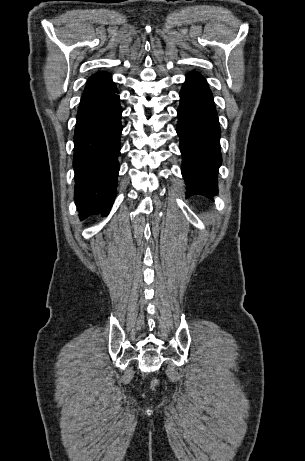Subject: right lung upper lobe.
<instances>
[{
    "instance_id": "right-lung-upper-lobe-1",
    "label": "right lung upper lobe",
    "mask_w": 305,
    "mask_h": 461,
    "mask_svg": "<svg viewBox=\"0 0 305 461\" xmlns=\"http://www.w3.org/2000/svg\"><path fill=\"white\" fill-rule=\"evenodd\" d=\"M104 73H107V72H98L95 75L104 74Z\"/></svg>"
}]
</instances>
